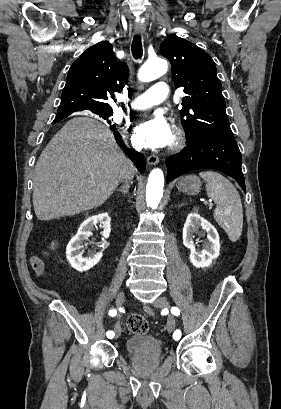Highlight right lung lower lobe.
<instances>
[{
  "label": "right lung lower lobe",
  "instance_id": "98d812e1",
  "mask_svg": "<svg viewBox=\"0 0 281 409\" xmlns=\"http://www.w3.org/2000/svg\"><path fill=\"white\" fill-rule=\"evenodd\" d=\"M71 113L72 112L57 113L53 123H56V122L62 120L63 118L70 115ZM114 135H115V139H116L117 143L121 147L125 148V145L122 142L121 136L117 132H115ZM126 151H127L128 155H129V157L131 158V160L136 165L137 169L140 171V173H144L145 166H146L144 156L142 154H140L139 152H136V151L131 150V149H126Z\"/></svg>",
  "mask_w": 281,
  "mask_h": 409
}]
</instances>
